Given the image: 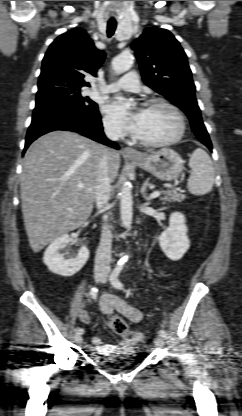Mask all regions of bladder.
I'll return each instance as SVG.
<instances>
[{"mask_svg": "<svg viewBox=\"0 0 242 416\" xmlns=\"http://www.w3.org/2000/svg\"><path fill=\"white\" fill-rule=\"evenodd\" d=\"M110 366H112L113 368H121V367H123L124 365H119V364H109Z\"/></svg>", "mask_w": 242, "mask_h": 416, "instance_id": "bladder-1", "label": "bladder"}]
</instances>
